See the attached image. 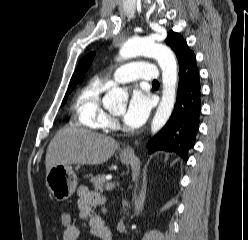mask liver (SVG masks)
<instances>
[{
	"label": "liver",
	"instance_id": "liver-1",
	"mask_svg": "<svg viewBox=\"0 0 248 240\" xmlns=\"http://www.w3.org/2000/svg\"><path fill=\"white\" fill-rule=\"evenodd\" d=\"M118 146V142L109 136L85 129H63L48 146L46 171L60 164H103L110 159Z\"/></svg>",
	"mask_w": 248,
	"mask_h": 240
}]
</instances>
